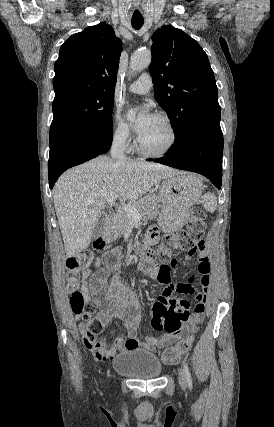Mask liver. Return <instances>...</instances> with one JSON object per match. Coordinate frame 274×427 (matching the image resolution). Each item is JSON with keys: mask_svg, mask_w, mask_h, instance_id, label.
Masks as SVG:
<instances>
[{"mask_svg": "<svg viewBox=\"0 0 274 427\" xmlns=\"http://www.w3.org/2000/svg\"><path fill=\"white\" fill-rule=\"evenodd\" d=\"M168 166L144 160H115L98 156L82 166L71 168L57 180L53 200L67 257L88 247L101 210L110 196L122 202H135L170 174Z\"/></svg>", "mask_w": 274, "mask_h": 427, "instance_id": "1", "label": "liver"}]
</instances>
